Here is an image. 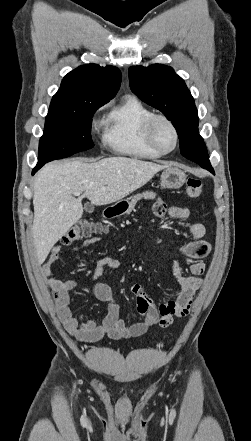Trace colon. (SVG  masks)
<instances>
[{"instance_id": "5ec220e1", "label": "colon", "mask_w": 251, "mask_h": 441, "mask_svg": "<svg viewBox=\"0 0 251 441\" xmlns=\"http://www.w3.org/2000/svg\"><path fill=\"white\" fill-rule=\"evenodd\" d=\"M186 195L189 198H197L202 193V183L197 178H189L186 183ZM103 230L100 224L90 222L88 220H81L74 224L63 236L62 242L64 244H71L74 241L89 238L93 234L99 233Z\"/></svg>"}]
</instances>
